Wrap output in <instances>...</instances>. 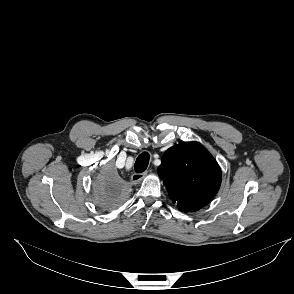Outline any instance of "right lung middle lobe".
Instances as JSON below:
<instances>
[{"mask_svg":"<svg viewBox=\"0 0 294 294\" xmlns=\"http://www.w3.org/2000/svg\"><path fill=\"white\" fill-rule=\"evenodd\" d=\"M124 190L117 184H111L109 180H98L94 202L102 209H112L123 199Z\"/></svg>","mask_w":294,"mask_h":294,"instance_id":"obj_1","label":"right lung middle lobe"}]
</instances>
